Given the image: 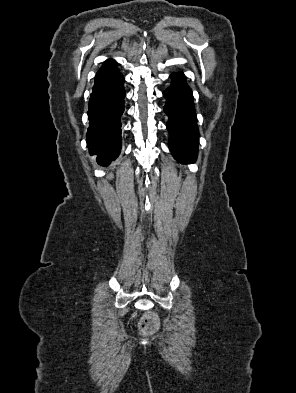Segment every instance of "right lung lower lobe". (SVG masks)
I'll return each mask as SVG.
<instances>
[{"mask_svg":"<svg viewBox=\"0 0 296 393\" xmlns=\"http://www.w3.org/2000/svg\"><path fill=\"white\" fill-rule=\"evenodd\" d=\"M124 97V77L117 63L109 59L95 76L87 112V146L101 166H108L120 153Z\"/></svg>","mask_w":296,"mask_h":393,"instance_id":"obj_1","label":"right lung lower lobe"}]
</instances>
